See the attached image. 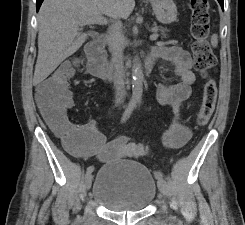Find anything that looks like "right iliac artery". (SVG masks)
Returning a JSON list of instances; mask_svg holds the SVG:
<instances>
[{
  "label": "right iliac artery",
  "instance_id": "right-iliac-artery-1",
  "mask_svg": "<svg viewBox=\"0 0 245 225\" xmlns=\"http://www.w3.org/2000/svg\"><path fill=\"white\" fill-rule=\"evenodd\" d=\"M135 106H136V103H134V102H130L128 104L126 110L124 111V113L122 115L121 123H125L128 120V118L130 117V115H131L133 109L135 108ZM93 171H94V166H89L87 168V173H91Z\"/></svg>",
  "mask_w": 245,
  "mask_h": 225
}]
</instances>
